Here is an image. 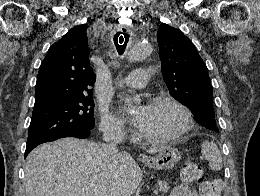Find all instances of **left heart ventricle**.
<instances>
[{
    "label": "left heart ventricle",
    "instance_id": "1",
    "mask_svg": "<svg viewBox=\"0 0 260 196\" xmlns=\"http://www.w3.org/2000/svg\"><path fill=\"white\" fill-rule=\"evenodd\" d=\"M184 122V114L174 105H148L146 123L142 131L152 135L168 134L179 130Z\"/></svg>",
    "mask_w": 260,
    "mask_h": 196
}]
</instances>
